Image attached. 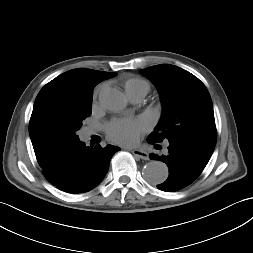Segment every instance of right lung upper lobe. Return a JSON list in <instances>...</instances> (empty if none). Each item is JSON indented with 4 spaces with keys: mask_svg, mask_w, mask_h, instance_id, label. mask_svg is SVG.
Here are the masks:
<instances>
[{
    "mask_svg": "<svg viewBox=\"0 0 253 253\" xmlns=\"http://www.w3.org/2000/svg\"><path fill=\"white\" fill-rule=\"evenodd\" d=\"M85 68L69 70L46 84L36 97L29 123V135L40 167L49 170L57 158L70 146L56 142L39 129L37 118L44 105L56 97H82L93 95L94 87L103 80L116 76Z\"/></svg>",
    "mask_w": 253,
    "mask_h": 253,
    "instance_id": "cb5924a9",
    "label": "right lung upper lobe"
}]
</instances>
